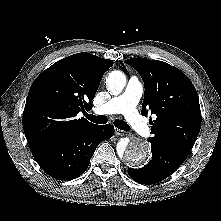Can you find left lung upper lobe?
I'll list each match as a JSON object with an SVG mask.
<instances>
[{
	"instance_id": "1",
	"label": "left lung upper lobe",
	"mask_w": 221,
	"mask_h": 221,
	"mask_svg": "<svg viewBox=\"0 0 221 221\" xmlns=\"http://www.w3.org/2000/svg\"><path fill=\"white\" fill-rule=\"evenodd\" d=\"M125 63L141 75L145 85L142 114L157 116L150 120L152 137L185 155L192 149L201 127L198 95L189 78L162 61L130 58Z\"/></svg>"
}]
</instances>
